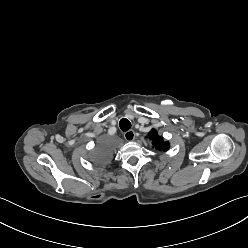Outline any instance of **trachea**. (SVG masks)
<instances>
[{
  "label": "trachea",
  "instance_id": "1",
  "mask_svg": "<svg viewBox=\"0 0 248 248\" xmlns=\"http://www.w3.org/2000/svg\"><path fill=\"white\" fill-rule=\"evenodd\" d=\"M119 126H120L121 130L125 132L131 128V123L128 119L123 118L120 120Z\"/></svg>",
  "mask_w": 248,
  "mask_h": 248
}]
</instances>
